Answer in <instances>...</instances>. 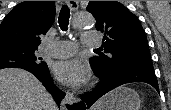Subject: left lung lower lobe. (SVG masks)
<instances>
[{"instance_id": "1", "label": "left lung lower lobe", "mask_w": 171, "mask_h": 110, "mask_svg": "<svg viewBox=\"0 0 171 110\" xmlns=\"http://www.w3.org/2000/svg\"><path fill=\"white\" fill-rule=\"evenodd\" d=\"M99 78L98 85L90 93L81 99L85 107L90 106L101 96L110 90L130 82H145L153 86L159 92L157 78L153 68L146 67H121L102 74H96Z\"/></svg>"}]
</instances>
